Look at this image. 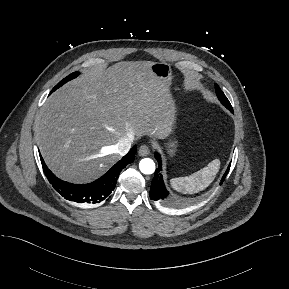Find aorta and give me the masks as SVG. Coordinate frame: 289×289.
<instances>
[{
  "mask_svg": "<svg viewBox=\"0 0 289 289\" xmlns=\"http://www.w3.org/2000/svg\"><path fill=\"white\" fill-rule=\"evenodd\" d=\"M139 168L143 174L149 175V174L154 173L155 163L150 158H144L140 161Z\"/></svg>",
  "mask_w": 289,
  "mask_h": 289,
  "instance_id": "obj_1",
  "label": "aorta"
}]
</instances>
